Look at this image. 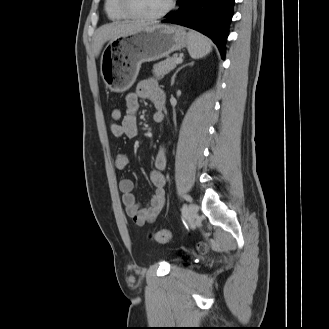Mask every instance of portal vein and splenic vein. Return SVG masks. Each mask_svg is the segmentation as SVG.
Masks as SVG:
<instances>
[{
	"instance_id": "portal-vein-and-splenic-vein-1",
	"label": "portal vein and splenic vein",
	"mask_w": 329,
	"mask_h": 329,
	"mask_svg": "<svg viewBox=\"0 0 329 329\" xmlns=\"http://www.w3.org/2000/svg\"><path fill=\"white\" fill-rule=\"evenodd\" d=\"M182 61H183L182 57H179V58H177L176 63L179 64V63H182Z\"/></svg>"
}]
</instances>
